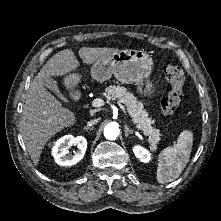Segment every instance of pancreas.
<instances>
[{
  "instance_id": "pancreas-1",
  "label": "pancreas",
  "mask_w": 221,
  "mask_h": 221,
  "mask_svg": "<svg viewBox=\"0 0 221 221\" xmlns=\"http://www.w3.org/2000/svg\"><path fill=\"white\" fill-rule=\"evenodd\" d=\"M104 96L109 100H119L123 103L132 118L133 123L137 125L147 136L152 149H155L156 144L161 138L160 131L152 127L153 121L149 117L148 112L143 108L133 93L128 91L125 87L111 85L105 89Z\"/></svg>"
}]
</instances>
